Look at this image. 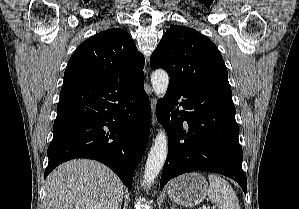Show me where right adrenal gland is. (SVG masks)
<instances>
[{"label":"right adrenal gland","instance_id":"1","mask_svg":"<svg viewBox=\"0 0 299 209\" xmlns=\"http://www.w3.org/2000/svg\"><path fill=\"white\" fill-rule=\"evenodd\" d=\"M118 209H121V205L118 207Z\"/></svg>","mask_w":299,"mask_h":209}]
</instances>
